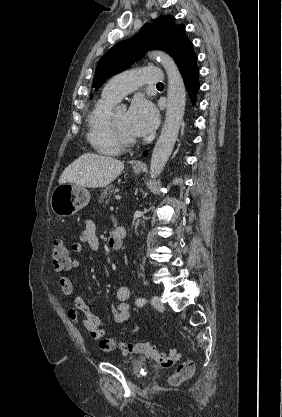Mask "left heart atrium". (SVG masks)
<instances>
[{"label": "left heart atrium", "mask_w": 282, "mask_h": 417, "mask_svg": "<svg viewBox=\"0 0 282 417\" xmlns=\"http://www.w3.org/2000/svg\"><path fill=\"white\" fill-rule=\"evenodd\" d=\"M158 124L155 107L146 100L135 101L127 114V127L135 136L152 132Z\"/></svg>", "instance_id": "1"}]
</instances>
